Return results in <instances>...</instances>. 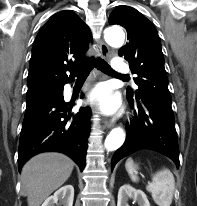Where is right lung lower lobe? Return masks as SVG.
Returning <instances> with one entry per match:
<instances>
[{"label":"right lung lower lobe","mask_w":197,"mask_h":206,"mask_svg":"<svg viewBox=\"0 0 197 206\" xmlns=\"http://www.w3.org/2000/svg\"><path fill=\"white\" fill-rule=\"evenodd\" d=\"M71 108L64 101L62 88L56 97L26 109L18 150L19 169L29 158L46 151L64 153L81 171L84 169L91 110L80 108L73 114Z\"/></svg>","instance_id":"right-lung-lower-lobe-1"}]
</instances>
